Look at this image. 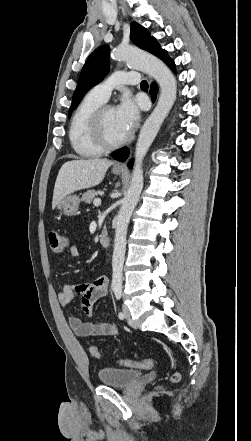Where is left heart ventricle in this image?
I'll return each mask as SVG.
<instances>
[{"label":"left heart ventricle","instance_id":"b2bd125f","mask_svg":"<svg viewBox=\"0 0 251 441\" xmlns=\"http://www.w3.org/2000/svg\"><path fill=\"white\" fill-rule=\"evenodd\" d=\"M104 129L109 140L117 141L128 133L122 128L115 108L107 109L104 116Z\"/></svg>","mask_w":251,"mask_h":441}]
</instances>
